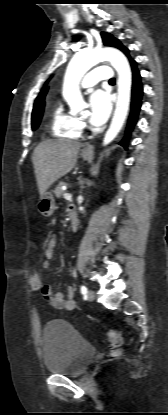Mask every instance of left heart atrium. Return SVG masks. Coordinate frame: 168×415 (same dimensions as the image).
Here are the masks:
<instances>
[{
  "label": "left heart atrium",
  "instance_id": "39dd6f15",
  "mask_svg": "<svg viewBox=\"0 0 168 415\" xmlns=\"http://www.w3.org/2000/svg\"><path fill=\"white\" fill-rule=\"evenodd\" d=\"M112 109L111 98L103 90H96L90 96V122L95 126L103 125Z\"/></svg>",
  "mask_w": 168,
  "mask_h": 415
}]
</instances>
